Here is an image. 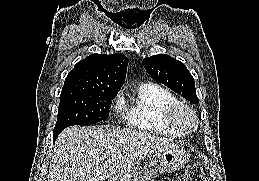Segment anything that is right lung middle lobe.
I'll list each match as a JSON object with an SVG mask.
<instances>
[{
	"mask_svg": "<svg viewBox=\"0 0 259 181\" xmlns=\"http://www.w3.org/2000/svg\"><path fill=\"white\" fill-rule=\"evenodd\" d=\"M115 93L66 90L61 92L53 137L72 125L90 126L108 118Z\"/></svg>",
	"mask_w": 259,
	"mask_h": 181,
	"instance_id": "obj_1",
	"label": "right lung middle lobe"
}]
</instances>
